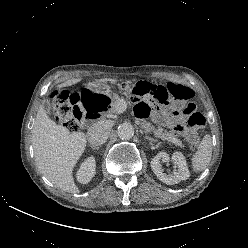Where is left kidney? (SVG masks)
I'll return each mask as SVG.
<instances>
[{
    "label": "left kidney",
    "instance_id": "1",
    "mask_svg": "<svg viewBox=\"0 0 248 248\" xmlns=\"http://www.w3.org/2000/svg\"><path fill=\"white\" fill-rule=\"evenodd\" d=\"M170 160L177 166V170L173 174H166L163 172L162 163L169 162ZM150 164L157 178L168 185L177 184L190 176L186 159L181 152H175L171 157L166 152H160L152 159Z\"/></svg>",
    "mask_w": 248,
    "mask_h": 248
}]
</instances>
